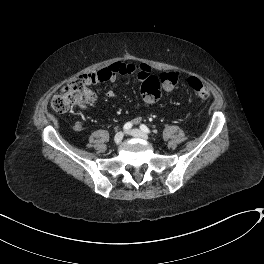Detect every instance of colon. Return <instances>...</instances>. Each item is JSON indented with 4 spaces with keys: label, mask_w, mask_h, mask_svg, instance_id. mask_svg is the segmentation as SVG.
Returning a JSON list of instances; mask_svg holds the SVG:
<instances>
[{
    "label": "colon",
    "mask_w": 264,
    "mask_h": 264,
    "mask_svg": "<svg viewBox=\"0 0 264 264\" xmlns=\"http://www.w3.org/2000/svg\"><path fill=\"white\" fill-rule=\"evenodd\" d=\"M120 74L128 71L123 66L119 69ZM180 74L178 71H167L160 76H151L143 81L141 94L145 99L152 100L160 96L161 88L173 89L179 82ZM188 85L195 92L198 98L206 100L209 97L208 89L200 80L195 77L188 79ZM96 92L89 86L83 77H76L67 83L54 94L51 100L52 108L57 112H66L73 107L85 108L95 101ZM81 122H76L77 127H81Z\"/></svg>",
    "instance_id": "colon-1"
}]
</instances>
